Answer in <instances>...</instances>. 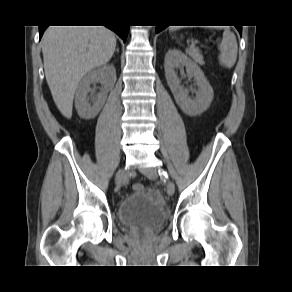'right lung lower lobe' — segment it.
I'll return each instance as SVG.
<instances>
[{
	"label": "right lung lower lobe",
	"instance_id": "right-lung-lower-lobe-1",
	"mask_svg": "<svg viewBox=\"0 0 292 292\" xmlns=\"http://www.w3.org/2000/svg\"><path fill=\"white\" fill-rule=\"evenodd\" d=\"M106 27L110 28L114 32H116L124 41L127 39V34H128V27L127 25H118V24H113V25H106ZM47 27L44 26H39V36L40 38L42 37L45 29Z\"/></svg>",
	"mask_w": 292,
	"mask_h": 292
}]
</instances>
